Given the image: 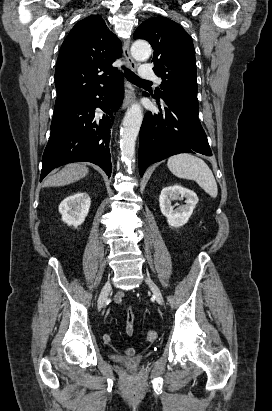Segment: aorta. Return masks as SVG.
<instances>
[{
  "mask_svg": "<svg viewBox=\"0 0 272 411\" xmlns=\"http://www.w3.org/2000/svg\"><path fill=\"white\" fill-rule=\"evenodd\" d=\"M131 54L136 60L148 59L151 47L145 41H135L131 46ZM143 120V111L139 104L134 103L126 112L121 128V158L131 170L135 161V145Z\"/></svg>",
  "mask_w": 272,
  "mask_h": 411,
  "instance_id": "obj_1",
  "label": "aorta"
}]
</instances>
